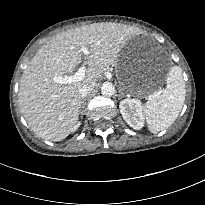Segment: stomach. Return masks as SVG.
<instances>
[{
	"label": "stomach",
	"mask_w": 205,
	"mask_h": 205,
	"mask_svg": "<svg viewBox=\"0 0 205 205\" xmlns=\"http://www.w3.org/2000/svg\"><path fill=\"white\" fill-rule=\"evenodd\" d=\"M140 55L142 53H139L135 45H126L119 55L117 77L127 92L151 94L157 90V86L142 80L139 76Z\"/></svg>",
	"instance_id": "obj_1"
}]
</instances>
